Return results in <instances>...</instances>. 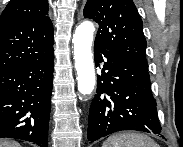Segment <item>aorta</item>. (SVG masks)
<instances>
[{
    "label": "aorta",
    "mask_w": 183,
    "mask_h": 147,
    "mask_svg": "<svg viewBox=\"0 0 183 147\" xmlns=\"http://www.w3.org/2000/svg\"><path fill=\"white\" fill-rule=\"evenodd\" d=\"M95 27L90 21H83L73 35L75 68L78 91L83 95L92 93L96 83L93 54L91 50Z\"/></svg>",
    "instance_id": "obj_1"
}]
</instances>
